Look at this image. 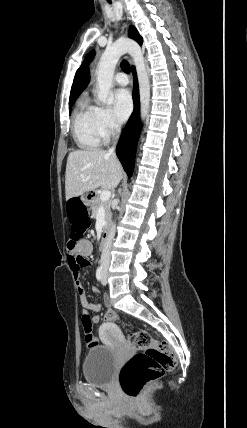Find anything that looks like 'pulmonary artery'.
<instances>
[{"label": "pulmonary artery", "mask_w": 247, "mask_h": 428, "mask_svg": "<svg viewBox=\"0 0 247 428\" xmlns=\"http://www.w3.org/2000/svg\"><path fill=\"white\" fill-rule=\"evenodd\" d=\"M114 80L120 86H126L129 83L128 77L123 72L117 73Z\"/></svg>", "instance_id": "pulmonary-artery-1"}]
</instances>
